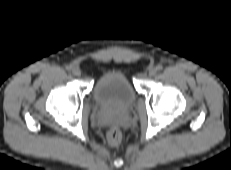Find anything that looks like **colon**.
Returning <instances> with one entry per match:
<instances>
[{
  "label": "colon",
  "mask_w": 231,
  "mask_h": 170,
  "mask_svg": "<svg viewBox=\"0 0 231 170\" xmlns=\"http://www.w3.org/2000/svg\"><path fill=\"white\" fill-rule=\"evenodd\" d=\"M122 138V134L119 129L113 128L108 132L107 139L111 146H117Z\"/></svg>",
  "instance_id": "1"
}]
</instances>
